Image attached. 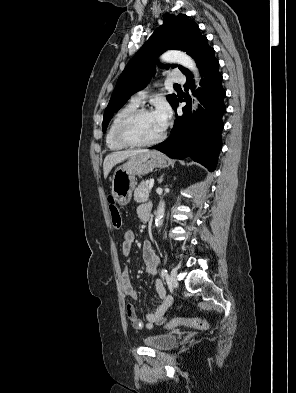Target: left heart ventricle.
Wrapping results in <instances>:
<instances>
[{
    "mask_svg": "<svg viewBox=\"0 0 296 393\" xmlns=\"http://www.w3.org/2000/svg\"><path fill=\"white\" fill-rule=\"evenodd\" d=\"M163 129L153 112L137 118L129 129V136L136 141H148L161 134Z\"/></svg>",
    "mask_w": 296,
    "mask_h": 393,
    "instance_id": "b2bd125f",
    "label": "left heart ventricle"
}]
</instances>
